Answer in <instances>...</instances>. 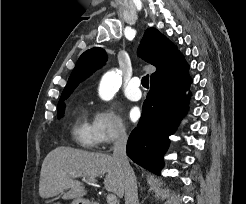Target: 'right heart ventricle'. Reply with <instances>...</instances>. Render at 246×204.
<instances>
[{"label": "right heart ventricle", "mask_w": 246, "mask_h": 204, "mask_svg": "<svg viewBox=\"0 0 246 204\" xmlns=\"http://www.w3.org/2000/svg\"><path fill=\"white\" fill-rule=\"evenodd\" d=\"M71 133L74 141L84 148L91 149L97 145L93 122L84 109L76 111Z\"/></svg>", "instance_id": "right-heart-ventricle-1"}]
</instances>
